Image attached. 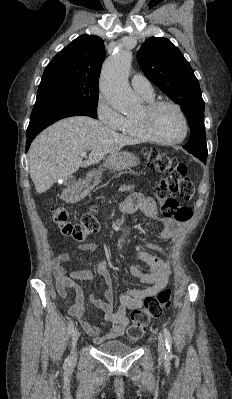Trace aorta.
Segmentation results:
<instances>
[{"mask_svg": "<svg viewBox=\"0 0 232 399\" xmlns=\"http://www.w3.org/2000/svg\"><path fill=\"white\" fill-rule=\"evenodd\" d=\"M131 62V52L119 49L105 61L100 77L102 94L114 109L122 112L134 111L139 107L138 98L128 83Z\"/></svg>", "mask_w": 232, "mask_h": 399, "instance_id": "762f6f07", "label": "aorta"}]
</instances>
